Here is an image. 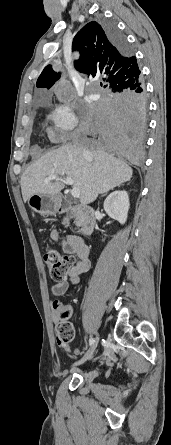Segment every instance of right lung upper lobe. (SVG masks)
I'll return each instance as SVG.
<instances>
[{"label":"right lung upper lobe","mask_w":171,"mask_h":445,"mask_svg":"<svg viewBox=\"0 0 171 445\" xmlns=\"http://www.w3.org/2000/svg\"><path fill=\"white\" fill-rule=\"evenodd\" d=\"M73 50L80 52V59L74 62L80 72L103 75L106 86L112 91L129 89L142 80L135 56L130 50H118L109 40L101 23L86 24L74 37ZM60 75L48 65L37 80V87L50 88ZM105 86V87H106Z\"/></svg>","instance_id":"cb5924a9"}]
</instances>
